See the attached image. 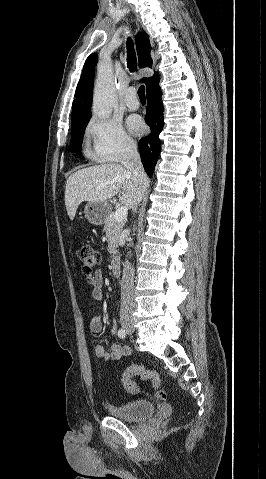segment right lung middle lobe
<instances>
[{"label":"right lung middle lobe","instance_id":"1","mask_svg":"<svg viewBox=\"0 0 266 479\" xmlns=\"http://www.w3.org/2000/svg\"><path fill=\"white\" fill-rule=\"evenodd\" d=\"M89 120H90V117L72 123L71 142H70L71 152H75L77 154L80 152L83 135Z\"/></svg>","mask_w":266,"mask_h":479}]
</instances>
